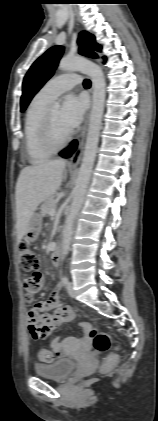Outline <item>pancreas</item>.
Instances as JSON below:
<instances>
[{
    "label": "pancreas",
    "mask_w": 158,
    "mask_h": 421,
    "mask_svg": "<svg viewBox=\"0 0 158 421\" xmlns=\"http://www.w3.org/2000/svg\"><path fill=\"white\" fill-rule=\"evenodd\" d=\"M57 201L54 196L49 197L46 199L41 205V214L42 216L50 215L51 209H56Z\"/></svg>",
    "instance_id": "obj_1"
}]
</instances>
